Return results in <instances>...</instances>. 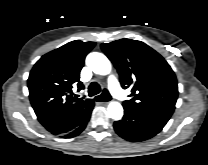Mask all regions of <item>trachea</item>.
<instances>
[{"label":"trachea","mask_w":208,"mask_h":165,"mask_svg":"<svg viewBox=\"0 0 208 165\" xmlns=\"http://www.w3.org/2000/svg\"><path fill=\"white\" fill-rule=\"evenodd\" d=\"M100 91H101V89H100L99 84L97 82H92L88 88V95L94 96V95L99 94ZM108 100H110V95L107 92V90H104V92L101 95L96 96V101H98V102H105Z\"/></svg>","instance_id":"trachea-1"}]
</instances>
